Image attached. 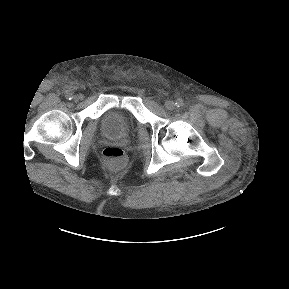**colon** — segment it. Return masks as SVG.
Listing matches in <instances>:
<instances>
[{
	"instance_id": "obj_1",
	"label": "colon",
	"mask_w": 289,
	"mask_h": 289,
	"mask_svg": "<svg viewBox=\"0 0 289 289\" xmlns=\"http://www.w3.org/2000/svg\"><path fill=\"white\" fill-rule=\"evenodd\" d=\"M103 160L113 170H120L126 164L124 151L117 146H108L102 152Z\"/></svg>"
}]
</instances>
